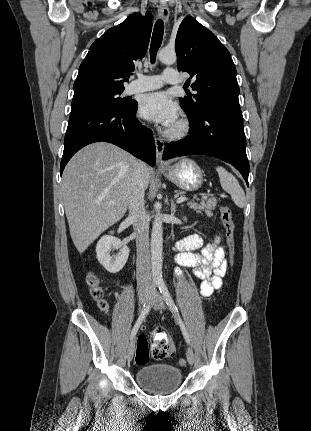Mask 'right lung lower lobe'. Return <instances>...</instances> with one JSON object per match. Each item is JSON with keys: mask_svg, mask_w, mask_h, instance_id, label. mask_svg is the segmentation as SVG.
<instances>
[{"mask_svg": "<svg viewBox=\"0 0 311 431\" xmlns=\"http://www.w3.org/2000/svg\"><path fill=\"white\" fill-rule=\"evenodd\" d=\"M136 111L137 106L130 111L102 106L72 110L64 139L61 175L79 149L97 141L113 143L153 166L156 158L153 135L136 119Z\"/></svg>", "mask_w": 311, "mask_h": 431, "instance_id": "98d812e1", "label": "right lung lower lobe"}]
</instances>
